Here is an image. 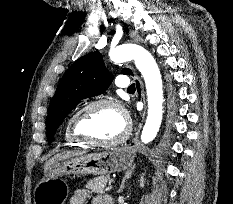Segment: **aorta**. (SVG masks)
<instances>
[{
  "label": "aorta",
  "instance_id": "762f6f07",
  "mask_svg": "<svg viewBox=\"0 0 233 204\" xmlns=\"http://www.w3.org/2000/svg\"><path fill=\"white\" fill-rule=\"evenodd\" d=\"M109 57L114 63L134 60L137 69L145 80L148 115L141 133V141L147 144L156 137L163 114L162 79L158 65L146 49L136 44L120 45L110 51Z\"/></svg>",
  "mask_w": 233,
  "mask_h": 204
}]
</instances>
